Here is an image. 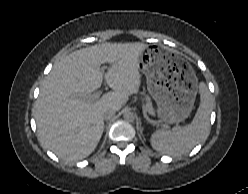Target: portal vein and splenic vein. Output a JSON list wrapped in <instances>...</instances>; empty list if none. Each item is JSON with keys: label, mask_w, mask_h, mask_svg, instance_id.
Returning a JSON list of instances; mask_svg holds the SVG:
<instances>
[{"label": "portal vein and splenic vein", "mask_w": 248, "mask_h": 194, "mask_svg": "<svg viewBox=\"0 0 248 194\" xmlns=\"http://www.w3.org/2000/svg\"><path fill=\"white\" fill-rule=\"evenodd\" d=\"M103 69H106V67H104ZM102 94V91H98L92 95H83L81 98L85 101H88L90 103L94 102L96 99H98Z\"/></svg>", "instance_id": "obj_1"}]
</instances>
